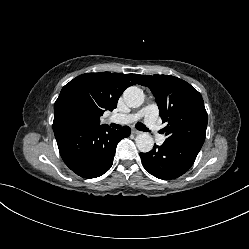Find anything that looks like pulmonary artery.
<instances>
[{
	"mask_svg": "<svg viewBox=\"0 0 249 249\" xmlns=\"http://www.w3.org/2000/svg\"><path fill=\"white\" fill-rule=\"evenodd\" d=\"M159 110L156 104H149L137 113L120 114L116 116V120L121 123H132L143 118L146 126L155 136V140L159 145L164 143V136L159 132L160 122L158 119Z\"/></svg>",
	"mask_w": 249,
	"mask_h": 249,
	"instance_id": "obj_1",
	"label": "pulmonary artery"
}]
</instances>
